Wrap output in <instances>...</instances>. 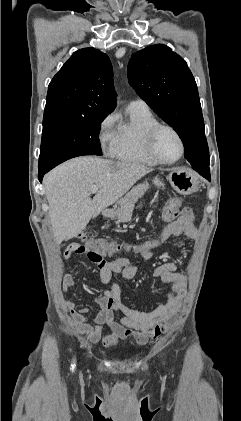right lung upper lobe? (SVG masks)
I'll list each match as a JSON object with an SVG mask.
<instances>
[{
  "label": "right lung upper lobe",
  "instance_id": "right-lung-upper-lobe-1",
  "mask_svg": "<svg viewBox=\"0 0 241 421\" xmlns=\"http://www.w3.org/2000/svg\"><path fill=\"white\" fill-rule=\"evenodd\" d=\"M115 106L109 57L95 48H84L76 51L50 82L44 113L108 115Z\"/></svg>",
  "mask_w": 241,
  "mask_h": 421
}]
</instances>
